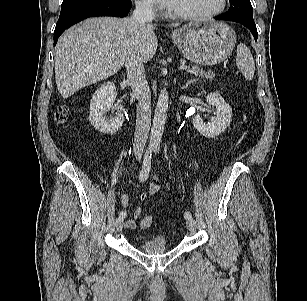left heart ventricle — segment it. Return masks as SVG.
Returning a JSON list of instances; mask_svg holds the SVG:
<instances>
[{"label":"left heart ventricle","mask_w":307,"mask_h":301,"mask_svg":"<svg viewBox=\"0 0 307 301\" xmlns=\"http://www.w3.org/2000/svg\"><path fill=\"white\" fill-rule=\"evenodd\" d=\"M221 0H173L170 10L179 13H202L216 9Z\"/></svg>","instance_id":"obj_1"}]
</instances>
